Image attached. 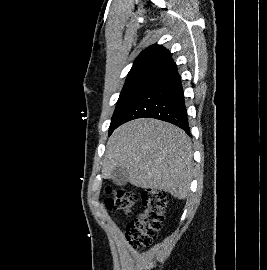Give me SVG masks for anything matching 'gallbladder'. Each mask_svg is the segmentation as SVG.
Masks as SVG:
<instances>
[{
	"mask_svg": "<svg viewBox=\"0 0 267 270\" xmlns=\"http://www.w3.org/2000/svg\"><path fill=\"white\" fill-rule=\"evenodd\" d=\"M112 181L118 186H125L128 183V171L122 167H116L112 173Z\"/></svg>",
	"mask_w": 267,
	"mask_h": 270,
	"instance_id": "gallbladder-1",
	"label": "gallbladder"
}]
</instances>
